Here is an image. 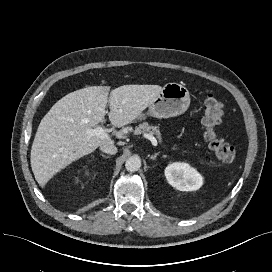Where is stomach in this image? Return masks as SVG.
<instances>
[{
	"label": "stomach",
	"mask_w": 272,
	"mask_h": 272,
	"mask_svg": "<svg viewBox=\"0 0 272 272\" xmlns=\"http://www.w3.org/2000/svg\"><path fill=\"white\" fill-rule=\"evenodd\" d=\"M190 105L188 89L179 83H167L160 94L149 105L148 115L162 119L183 114ZM139 119H144L145 114H140Z\"/></svg>",
	"instance_id": "obj_1"
}]
</instances>
